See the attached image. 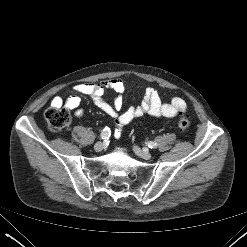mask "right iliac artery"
I'll return each mask as SVG.
<instances>
[{
  "instance_id": "obj_1",
  "label": "right iliac artery",
  "mask_w": 247,
  "mask_h": 247,
  "mask_svg": "<svg viewBox=\"0 0 247 247\" xmlns=\"http://www.w3.org/2000/svg\"><path fill=\"white\" fill-rule=\"evenodd\" d=\"M111 131L108 127H105L102 132H101V139L105 140L108 139L110 137Z\"/></svg>"
}]
</instances>
